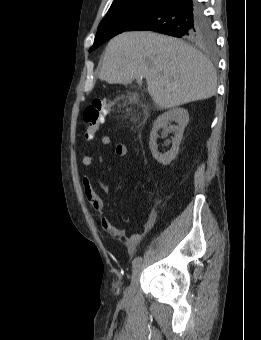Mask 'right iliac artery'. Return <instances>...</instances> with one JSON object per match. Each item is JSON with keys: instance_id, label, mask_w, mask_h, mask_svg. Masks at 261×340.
I'll return each instance as SVG.
<instances>
[{"instance_id": "obj_1", "label": "right iliac artery", "mask_w": 261, "mask_h": 340, "mask_svg": "<svg viewBox=\"0 0 261 340\" xmlns=\"http://www.w3.org/2000/svg\"><path fill=\"white\" fill-rule=\"evenodd\" d=\"M141 261H142V257L140 256L135 257L134 260L132 261V267L135 268L136 266L140 264Z\"/></svg>"}]
</instances>
